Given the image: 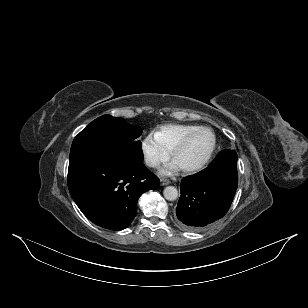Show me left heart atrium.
Segmentation results:
<instances>
[{
	"label": "left heart atrium",
	"mask_w": 308,
	"mask_h": 308,
	"mask_svg": "<svg viewBox=\"0 0 308 308\" xmlns=\"http://www.w3.org/2000/svg\"><path fill=\"white\" fill-rule=\"evenodd\" d=\"M179 169H180L179 165L173 160L172 162L165 165L161 169L160 173L162 175H172V174L176 173Z\"/></svg>",
	"instance_id": "obj_1"
}]
</instances>
